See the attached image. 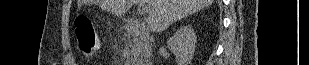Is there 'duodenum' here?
Instances as JSON below:
<instances>
[{"mask_svg": "<svg viewBox=\"0 0 309 65\" xmlns=\"http://www.w3.org/2000/svg\"><path fill=\"white\" fill-rule=\"evenodd\" d=\"M125 30L131 37L140 39L143 42H146L147 30L142 25L141 22L137 20L128 19L126 21ZM143 65H149V63H143Z\"/></svg>", "mask_w": 309, "mask_h": 65, "instance_id": "410a0bca", "label": "duodenum"}]
</instances>
